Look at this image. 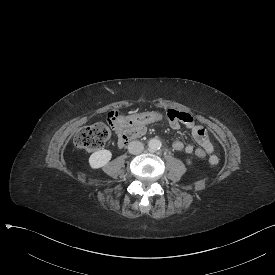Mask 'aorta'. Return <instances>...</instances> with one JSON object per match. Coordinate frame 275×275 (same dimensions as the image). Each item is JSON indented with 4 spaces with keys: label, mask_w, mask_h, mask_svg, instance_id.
Instances as JSON below:
<instances>
[{
    "label": "aorta",
    "mask_w": 275,
    "mask_h": 275,
    "mask_svg": "<svg viewBox=\"0 0 275 275\" xmlns=\"http://www.w3.org/2000/svg\"><path fill=\"white\" fill-rule=\"evenodd\" d=\"M148 146L152 151H156V150L160 149L161 142H160V140H158L156 138H152L149 140Z\"/></svg>",
    "instance_id": "1"
}]
</instances>
